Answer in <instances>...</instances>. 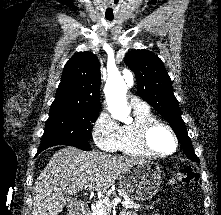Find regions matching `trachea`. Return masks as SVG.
I'll return each mask as SVG.
<instances>
[{
  "label": "trachea",
  "instance_id": "3493384b",
  "mask_svg": "<svg viewBox=\"0 0 221 215\" xmlns=\"http://www.w3.org/2000/svg\"><path fill=\"white\" fill-rule=\"evenodd\" d=\"M108 20H109V21H112V19H111V18H108Z\"/></svg>",
  "mask_w": 221,
  "mask_h": 215
}]
</instances>
